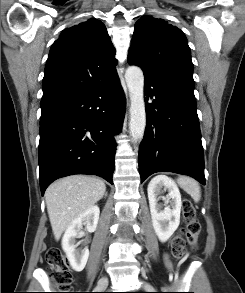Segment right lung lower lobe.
Here are the masks:
<instances>
[{
	"mask_svg": "<svg viewBox=\"0 0 245 293\" xmlns=\"http://www.w3.org/2000/svg\"><path fill=\"white\" fill-rule=\"evenodd\" d=\"M125 99L118 76L41 114L40 187L73 174L97 175L113 184L114 135L121 130Z\"/></svg>",
	"mask_w": 245,
	"mask_h": 293,
	"instance_id": "1",
	"label": "right lung lower lobe"
}]
</instances>
